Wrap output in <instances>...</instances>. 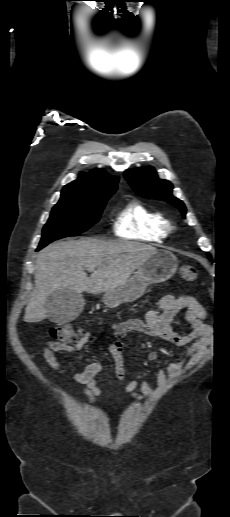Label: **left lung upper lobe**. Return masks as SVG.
<instances>
[{
  "label": "left lung upper lobe",
  "mask_w": 230,
  "mask_h": 517,
  "mask_svg": "<svg viewBox=\"0 0 230 517\" xmlns=\"http://www.w3.org/2000/svg\"><path fill=\"white\" fill-rule=\"evenodd\" d=\"M124 175L137 194L148 199L166 201L177 207L185 217L186 207L184 203L171 193L173 185L167 180L159 179L152 167L126 170ZM208 257L210 258V254H208Z\"/></svg>",
  "instance_id": "1"
}]
</instances>
